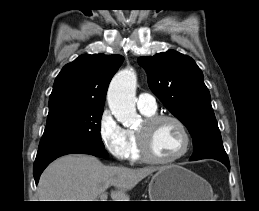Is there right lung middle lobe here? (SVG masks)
Masks as SVG:
<instances>
[{
  "label": "right lung middle lobe",
  "instance_id": "right-lung-middle-lobe-1",
  "mask_svg": "<svg viewBox=\"0 0 259 211\" xmlns=\"http://www.w3.org/2000/svg\"><path fill=\"white\" fill-rule=\"evenodd\" d=\"M102 114L103 108H85L47 119L38 150L62 144L104 148L100 135Z\"/></svg>",
  "mask_w": 259,
  "mask_h": 211
}]
</instances>
